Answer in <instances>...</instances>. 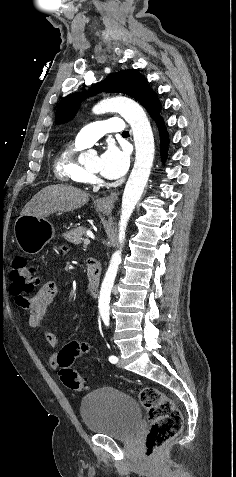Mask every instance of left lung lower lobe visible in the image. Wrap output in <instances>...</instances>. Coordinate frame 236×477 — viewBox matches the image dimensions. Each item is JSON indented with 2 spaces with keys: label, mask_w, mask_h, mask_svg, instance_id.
Masks as SVG:
<instances>
[{
  "label": "left lung lower lobe",
  "mask_w": 236,
  "mask_h": 477,
  "mask_svg": "<svg viewBox=\"0 0 236 477\" xmlns=\"http://www.w3.org/2000/svg\"><path fill=\"white\" fill-rule=\"evenodd\" d=\"M147 110L153 120L156 122L159 133H160V142H161V156L163 159H165L168 151V134L164 128L163 124V119L159 116L160 110H161V104L159 100L157 99V95L155 94L152 101L147 107Z\"/></svg>",
  "instance_id": "left-lung-lower-lobe-1"
}]
</instances>
